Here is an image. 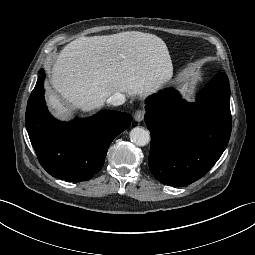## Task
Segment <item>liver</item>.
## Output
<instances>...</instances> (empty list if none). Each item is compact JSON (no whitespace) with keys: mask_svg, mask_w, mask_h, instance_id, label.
<instances>
[{"mask_svg":"<svg viewBox=\"0 0 255 255\" xmlns=\"http://www.w3.org/2000/svg\"><path fill=\"white\" fill-rule=\"evenodd\" d=\"M173 75L164 41L156 35L127 31L107 36L80 37L66 45L52 68L53 92L47 104L60 119L71 117L70 107L91 112L116 92L146 98Z\"/></svg>","mask_w":255,"mask_h":255,"instance_id":"1","label":"liver"}]
</instances>
